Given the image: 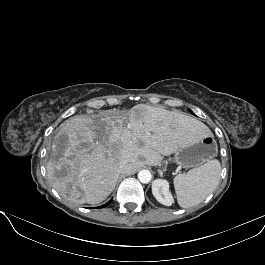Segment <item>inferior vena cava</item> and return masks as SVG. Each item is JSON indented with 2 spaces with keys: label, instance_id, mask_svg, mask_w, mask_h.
<instances>
[{
  "label": "inferior vena cava",
  "instance_id": "inferior-vena-cava-1",
  "mask_svg": "<svg viewBox=\"0 0 265 265\" xmlns=\"http://www.w3.org/2000/svg\"><path fill=\"white\" fill-rule=\"evenodd\" d=\"M127 168V163L126 161H121L119 163V173H125Z\"/></svg>",
  "mask_w": 265,
  "mask_h": 265
}]
</instances>
